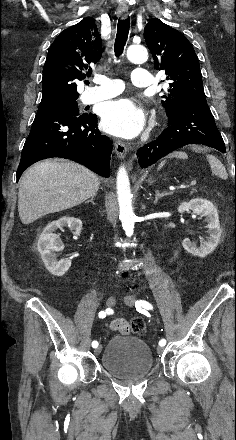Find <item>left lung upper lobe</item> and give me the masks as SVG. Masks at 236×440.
I'll return each instance as SVG.
<instances>
[{
  "instance_id": "left-lung-upper-lobe-1",
  "label": "left lung upper lobe",
  "mask_w": 236,
  "mask_h": 440,
  "mask_svg": "<svg viewBox=\"0 0 236 440\" xmlns=\"http://www.w3.org/2000/svg\"><path fill=\"white\" fill-rule=\"evenodd\" d=\"M146 44L156 70H164L169 94L162 105L168 120L190 101L206 99L197 55L188 39L178 30L152 18L144 28Z\"/></svg>"
}]
</instances>
